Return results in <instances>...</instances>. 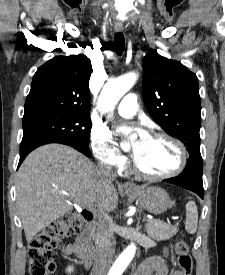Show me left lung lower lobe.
Listing matches in <instances>:
<instances>
[{
    "mask_svg": "<svg viewBox=\"0 0 225 275\" xmlns=\"http://www.w3.org/2000/svg\"><path fill=\"white\" fill-rule=\"evenodd\" d=\"M203 162L201 154L189 156L184 171L177 177L164 180L181 186L185 189L197 193L202 199L204 198V189L202 182Z\"/></svg>",
    "mask_w": 225,
    "mask_h": 275,
    "instance_id": "0a47b994",
    "label": "left lung lower lobe"
}]
</instances>
